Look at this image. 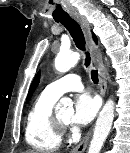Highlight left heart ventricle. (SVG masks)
<instances>
[{
  "label": "left heart ventricle",
  "mask_w": 130,
  "mask_h": 153,
  "mask_svg": "<svg viewBox=\"0 0 130 153\" xmlns=\"http://www.w3.org/2000/svg\"><path fill=\"white\" fill-rule=\"evenodd\" d=\"M59 118L63 121L68 123L71 118V112L70 111H63L58 114Z\"/></svg>",
  "instance_id": "left-heart-ventricle-1"
}]
</instances>
